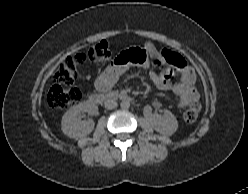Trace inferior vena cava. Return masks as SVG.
Returning <instances> with one entry per match:
<instances>
[{
  "label": "inferior vena cava",
  "mask_w": 248,
  "mask_h": 194,
  "mask_svg": "<svg viewBox=\"0 0 248 194\" xmlns=\"http://www.w3.org/2000/svg\"><path fill=\"white\" fill-rule=\"evenodd\" d=\"M106 109H114L117 107V102L113 99H108L104 103Z\"/></svg>",
  "instance_id": "1"
}]
</instances>
